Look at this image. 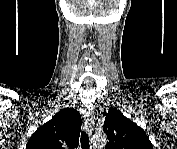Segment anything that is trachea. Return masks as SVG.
<instances>
[{
	"mask_svg": "<svg viewBox=\"0 0 177 149\" xmlns=\"http://www.w3.org/2000/svg\"><path fill=\"white\" fill-rule=\"evenodd\" d=\"M80 142H81V148H82V149H89V147H90V144H89V137H88V135L86 134L85 131H83V132L81 133Z\"/></svg>",
	"mask_w": 177,
	"mask_h": 149,
	"instance_id": "obj_1",
	"label": "trachea"
}]
</instances>
